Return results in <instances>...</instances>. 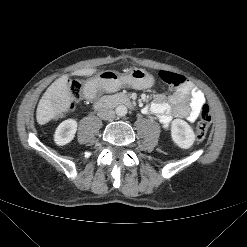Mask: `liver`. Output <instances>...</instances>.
Masks as SVG:
<instances>
[{
  "instance_id": "obj_1",
  "label": "liver",
  "mask_w": 247,
  "mask_h": 247,
  "mask_svg": "<svg viewBox=\"0 0 247 247\" xmlns=\"http://www.w3.org/2000/svg\"><path fill=\"white\" fill-rule=\"evenodd\" d=\"M96 72L97 69L85 68L75 70L73 75L91 76ZM68 78L65 74L56 79L43 94L36 111L38 124L44 125L69 109L73 96L68 85Z\"/></svg>"
}]
</instances>
